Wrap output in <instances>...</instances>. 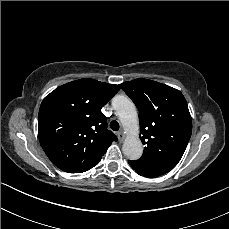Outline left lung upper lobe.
Wrapping results in <instances>:
<instances>
[{
	"label": "left lung upper lobe",
	"mask_w": 229,
	"mask_h": 229,
	"mask_svg": "<svg viewBox=\"0 0 229 229\" xmlns=\"http://www.w3.org/2000/svg\"><path fill=\"white\" fill-rule=\"evenodd\" d=\"M119 86L140 112V139L146 145L141 158L132 162L152 177L169 172L180 161L192 133L186 99L175 88L143 78Z\"/></svg>",
	"instance_id": "left-lung-upper-lobe-1"
}]
</instances>
